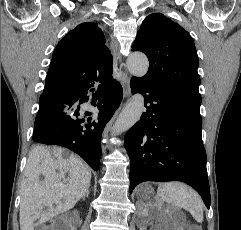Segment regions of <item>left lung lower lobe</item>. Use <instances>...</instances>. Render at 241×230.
<instances>
[{
  "label": "left lung lower lobe",
  "mask_w": 241,
  "mask_h": 230,
  "mask_svg": "<svg viewBox=\"0 0 241 230\" xmlns=\"http://www.w3.org/2000/svg\"><path fill=\"white\" fill-rule=\"evenodd\" d=\"M131 91L144 95L147 110L125 137L131 159L130 192L144 181H182L192 186L209 208L201 102L138 79L131 81Z\"/></svg>",
  "instance_id": "obj_1"
}]
</instances>
